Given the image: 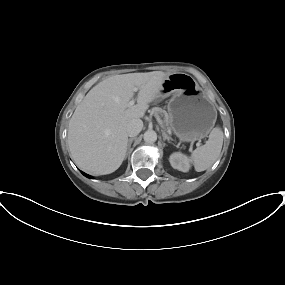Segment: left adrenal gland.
Masks as SVG:
<instances>
[{
    "label": "left adrenal gland",
    "mask_w": 285,
    "mask_h": 285,
    "mask_svg": "<svg viewBox=\"0 0 285 285\" xmlns=\"http://www.w3.org/2000/svg\"><path fill=\"white\" fill-rule=\"evenodd\" d=\"M163 140H167L169 143H172V138L169 137L164 131H162Z\"/></svg>",
    "instance_id": "left-adrenal-gland-1"
}]
</instances>
